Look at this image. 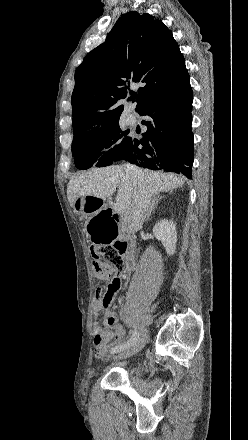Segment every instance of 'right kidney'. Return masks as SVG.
Returning a JSON list of instances; mask_svg holds the SVG:
<instances>
[{"mask_svg":"<svg viewBox=\"0 0 248 440\" xmlns=\"http://www.w3.org/2000/svg\"><path fill=\"white\" fill-rule=\"evenodd\" d=\"M155 237L162 241L168 255H173L176 250L177 231L173 221L166 219L158 221L153 227Z\"/></svg>","mask_w":248,"mask_h":440,"instance_id":"ca27d5eb","label":"right kidney"}]
</instances>
